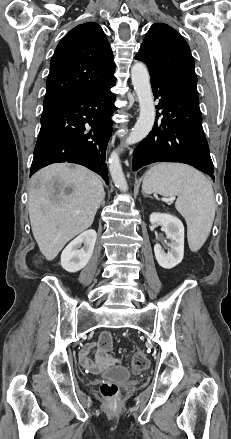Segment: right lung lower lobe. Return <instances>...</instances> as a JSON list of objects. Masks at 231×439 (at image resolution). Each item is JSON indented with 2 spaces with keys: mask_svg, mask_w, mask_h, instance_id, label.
<instances>
[{
  "mask_svg": "<svg viewBox=\"0 0 231 439\" xmlns=\"http://www.w3.org/2000/svg\"><path fill=\"white\" fill-rule=\"evenodd\" d=\"M115 80L42 114L30 176L49 164L71 162L91 169L109 184L105 160L115 110L110 88Z\"/></svg>",
  "mask_w": 231,
  "mask_h": 439,
  "instance_id": "right-lung-lower-lobe-1",
  "label": "right lung lower lobe"
}]
</instances>
